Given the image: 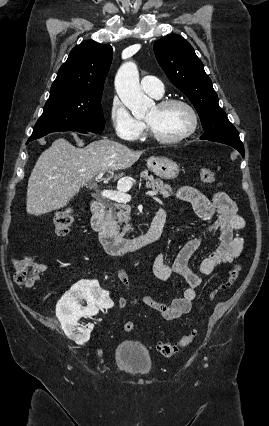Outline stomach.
<instances>
[{
  "mask_svg": "<svg viewBox=\"0 0 269 426\" xmlns=\"http://www.w3.org/2000/svg\"><path fill=\"white\" fill-rule=\"evenodd\" d=\"M147 166L155 175L163 179H174L179 174V168L171 159L150 157Z\"/></svg>",
  "mask_w": 269,
  "mask_h": 426,
  "instance_id": "stomach-1",
  "label": "stomach"
}]
</instances>
